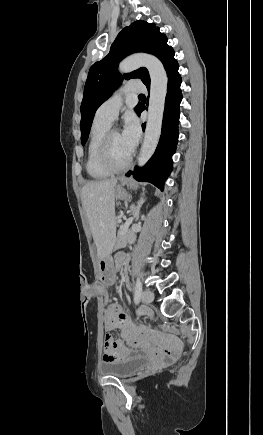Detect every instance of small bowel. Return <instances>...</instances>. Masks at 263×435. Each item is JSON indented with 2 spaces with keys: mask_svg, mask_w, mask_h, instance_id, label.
Segmentation results:
<instances>
[{
  "mask_svg": "<svg viewBox=\"0 0 263 435\" xmlns=\"http://www.w3.org/2000/svg\"><path fill=\"white\" fill-rule=\"evenodd\" d=\"M127 256L117 254L113 260V268L120 269L127 264ZM128 284V278L125 276ZM104 327L107 332L121 331V339H113L111 350L103 349L105 362L120 361L135 355L159 356L161 361H178L177 350L183 347L180 341H171L174 334L171 332L149 331L138 323L137 317L124 311L119 304H109L106 307ZM126 339V343L122 340ZM131 341V342H130Z\"/></svg>",
  "mask_w": 263,
  "mask_h": 435,
  "instance_id": "c3829d8e",
  "label": "small bowel"
}]
</instances>
